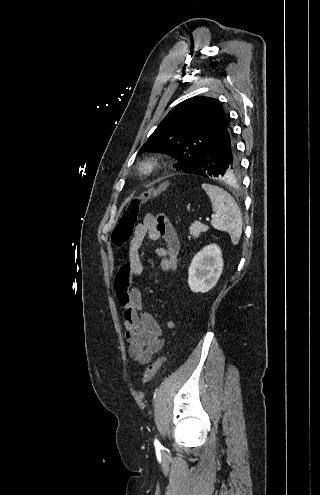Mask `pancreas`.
Wrapping results in <instances>:
<instances>
[{
    "label": "pancreas",
    "mask_w": 320,
    "mask_h": 495,
    "mask_svg": "<svg viewBox=\"0 0 320 495\" xmlns=\"http://www.w3.org/2000/svg\"><path fill=\"white\" fill-rule=\"evenodd\" d=\"M208 230V226L204 225L198 221H195L189 228L190 235L194 238H198L201 233H204ZM190 238V237H189Z\"/></svg>",
    "instance_id": "1"
}]
</instances>
